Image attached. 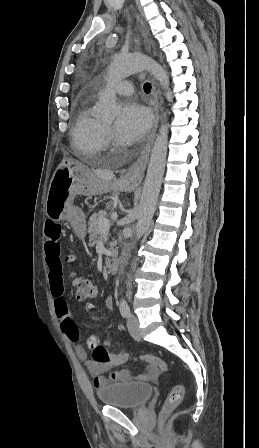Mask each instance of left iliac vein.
I'll use <instances>...</instances> for the list:
<instances>
[{
    "label": "left iliac vein",
    "mask_w": 259,
    "mask_h": 448,
    "mask_svg": "<svg viewBox=\"0 0 259 448\" xmlns=\"http://www.w3.org/2000/svg\"><path fill=\"white\" fill-rule=\"evenodd\" d=\"M127 328L130 333V335L136 339L139 340L141 338L140 335V328H139V321L138 318L134 315H130L127 319Z\"/></svg>",
    "instance_id": "1"
}]
</instances>
